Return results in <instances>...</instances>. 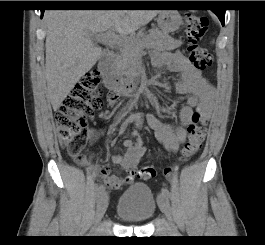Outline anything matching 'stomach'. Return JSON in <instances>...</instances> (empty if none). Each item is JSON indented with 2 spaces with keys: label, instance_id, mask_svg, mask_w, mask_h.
<instances>
[{
  "label": "stomach",
  "instance_id": "stomach-1",
  "mask_svg": "<svg viewBox=\"0 0 265 245\" xmlns=\"http://www.w3.org/2000/svg\"><path fill=\"white\" fill-rule=\"evenodd\" d=\"M158 26L163 33L176 31L182 24V17L178 11H162L158 15Z\"/></svg>",
  "mask_w": 265,
  "mask_h": 245
}]
</instances>
